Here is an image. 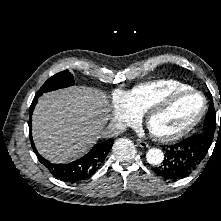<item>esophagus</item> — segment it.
Returning <instances> with one entry per match:
<instances>
[{"mask_svg":"<svg viewBox=\"0 0 221 221\" xmlns=\"http://www.w3.org/2000/svg\"><path fill=\"white\" fill-rule=\"evenodd\" d=\"M136 142H137V144H138L140 147H142V148H148V147H149V145L147 144V142H145V141H143V140H141V139H137Z\"/></svg>","mask_w":221,"mask_h":221,"instance_id":"34e87169","label":"esophagus"}]
</instances>
